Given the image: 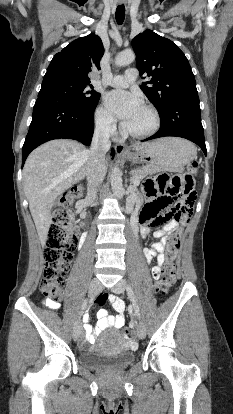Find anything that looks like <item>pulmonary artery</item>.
<instances>
[{
    "label": "pulmonary artery",
    "mask_w": 233,
    "mask_h": 414,
    "mask_svg": "<svg viewBox=\"0 0 233 414\" xmlns=\"http://www.w3.org/2000/svg\"><path fill=\"white\" fill-rule=\"evenodd\" d=\"M138 77V71L135 68H129L123 75H115L107 80V83L113 87H127Z\"/></svg>",
    "instance_id": "1"
}]
</instances>
